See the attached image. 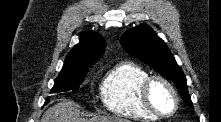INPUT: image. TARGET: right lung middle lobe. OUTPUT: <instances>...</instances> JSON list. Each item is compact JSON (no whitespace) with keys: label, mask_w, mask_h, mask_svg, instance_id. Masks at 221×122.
<instances>
[{"label":"right lung middle lobe","mask_w":221,"mask_h":122,"mask_svg":"<svg viewBox=\"0 0 221 122\" xmlns=\"http://www.w3.org/2000/svg\"><path fill=\"white\" fill-rule=\"evenodd\" d=\"M88 69L77 71V72H60L58 77L54 82V86L51 90V93L65 92L72 90L76 92L79 89L80 84L83 82L86 77ZM48 97L46 101H49Z\"/></svg>","instance_id":"obj_1"}]
</instances>
